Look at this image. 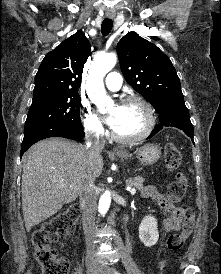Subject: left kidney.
<instances>
[{
  "label": "left kidney",
  "instance_id": "obj_1",
  "mask_svg": "<svg viewBox=\"0 0 221 274\" xmlns=\"http://www.w3.org/2000/svg\"><path fill=\"white\" fill-rule=\"evenodd\" d=\"M159 238L158 225L155 217H144L139 226V239L146 247L154 246Z\"/></svg>",
  "mask_w": 221,
  "mask_h": 274
}]
</instances>
